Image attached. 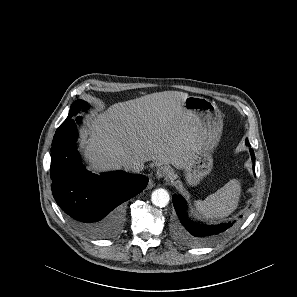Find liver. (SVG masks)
Returning <instances> with one entry per match:
<instances>
[{
    "label": "liver",
    "mask_w": 297,
    "mask_h": 297,
    "mask_svg": "<svg viewBox=\"0 0 297 297\" xmlns=\"http://www.w3.org/2000/svg\"><path fill=\"white\" fill-rule=\"evenodd\" d=\"M188 96L156 92L88 117L80 147L90 165L122 168L128 157L137 155L182 168L201 142L198 121L183 108Z\"/></svg>",
    "instance_id": "6515ba94"
}]
</instances>
